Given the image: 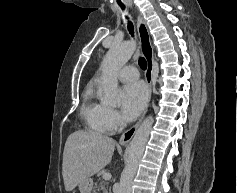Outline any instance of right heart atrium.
<instances>
[{
  "label": "right heart atrium",
  "mask_w": 237,
  "mask_h": 193,
  "mask_svg": "<svg viewBox=\"0 0 237 193\" xmlns=\"http://www.w3.org/2000/svg\"><path fill=\"white\" fill-rule=\"evenodd\" d=\"M105 121L109 131L118 129L122 124L119 112L112 108H106Z\"/></svg>",
  "instance_id": "d8ad5b80"
}]
</instances>
